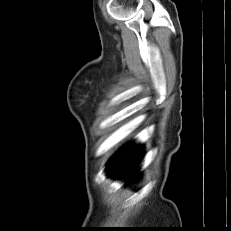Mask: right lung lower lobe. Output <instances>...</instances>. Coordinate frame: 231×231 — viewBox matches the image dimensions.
Masks as SVG:
<instances>
[{"mask_svg":"<svg viewBox=\"0 0 231 231\" xmlns=\"http://www.w3.org/2000/svg\"><path fill=\"white\" fill-rule=\"evenodd\" d=\"M142 158L141 148L132 144L122 147L108 163V175L117 178L132 174Z\"/></svg>","mask_w":231,"mask_h":231,"instance_id":"1","label":"right lung lower lobe"}]
</instances>
